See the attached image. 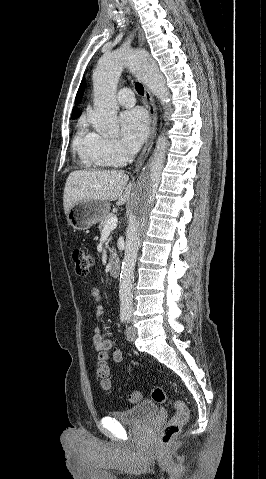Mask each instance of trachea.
Wrapping results in <instances>:
<instances>
[{"instance_id": "3493384b", "label": "trachea", "mask_w": 266, "mask_h": 479, "mask_svg": "<svg viewBox=\"0 0 266 479\" xmlns=\"http://www.w3.org/2000/svg\"><path fill=\"white\" fill-rule=\"evenodd\" d=\"M135 89L138 92V94L143 95L144 94V88L141 83L136 82L135 83Z\"/></svg>"}]
</instances>
